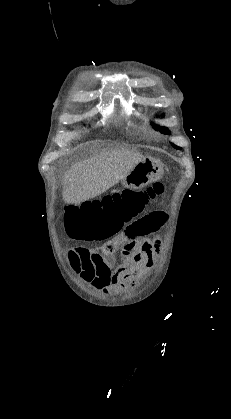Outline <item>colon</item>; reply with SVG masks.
<instances>
[{
    "label": "colon",
    "instance_id": "obj_1",
    "mask_svg": "<svg viewBox=\"0 0 231 419\" xmlns=\"http://www.w3.org/2000/svg\"><path fill=\"white\" fill-rule=\"evenodd\" d=\"M164 191L155 183L143 190L126 189L82 206H68L65 214L67 230L87 240L105 241L122 231L140 215L145 205Z\"/></svg>",
    "mask_w": 231,
    "mask_h": 419
}]
</instances>
